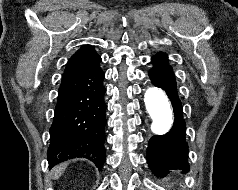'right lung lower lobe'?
<instances>
[{"label":"right lung lower lobe","instance_id":"1","mask_svg":"<svg viewBox=\"0 0 238 190\" xmlns=\"http://www.w3.org/2000/svg\"><path fill=\"white\" fill-rule=\"evenodd\" d=\"M101 58L84 70L62 79L47 156L50 166L84 157L101 169L106 157V125Z\"/></svg>","mask_w":238,"mask_h":190}]
</instances>
